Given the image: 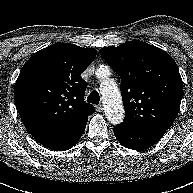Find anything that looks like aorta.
<instances>
[{
	"instance_id": "aorta-1",
	"label": "aorta",
	"mask_w": 193,
	"mask_h": 193,
	"mask_svg": "<svg viewBox=\"0 0 193 193\" xmlns=\"http://www.w3.org/2000/svg\"><path fill=\"white\" fill-rule=\"evenodd\" d=\"M108 72L107 68H101L97 71V76L102 78ZM100 91L107 119L113 124L121 123L124 118V106L116 83L112 79H106L101 83Z\"/></svg>"
}]
</instances>
